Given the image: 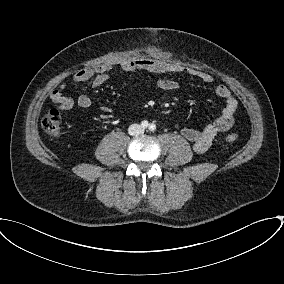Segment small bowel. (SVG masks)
<instances>
[{
  "label": "small bowel",
  "mask_w": 284,
  "mask_h": 284,
  "mask_svg": "<svg viewBox=\"0 0 284 284\" xmlns=\"http://www.w3.org/2000/svg\"><path fill=\"white\" fill-rule=\"evenodd\" d=\"M119 68L126 73L145 71L157 75L175 74L182 71V67L177 64L152 58L127 60L122 62ZM112 69L113 66L108 64L92 68H82L74 73L73 81L81 83L90 80L93 87H99L110 78ZM190 74L196 76L204 83H211L213 81L212 75L206 72L191 71ZM66 85L67 83L63 82L50 93L52 102L55 103L61 111H69L75 104L71 97L63 93ZM156 86L164 91H175L178 88V83L171 79H159L156 81ZM215 93L225 103L218 118L201 129L180 127L181 135L192 143L193 149L197 153H203L208 150L215 137L220 133L228 131L234 124L238 106L236 98L223 84L215 86ZM76 103L80 108L88 109L92 101L88 95L82 94L77 98Z\"/></svg>",
  "instance_id": "c3829d8e"
}]
</instances>
